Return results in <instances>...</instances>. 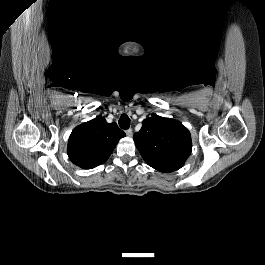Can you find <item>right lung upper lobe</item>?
<instances>
[{
	"instance_id": "right-lung-upper-lobe-1",
	"label": "right lung upper lobe",
	"mask_w": 265,
	"mask_h": 265,
	"mask_svg": "<svg viewBox=\"0 0 265 265\" xmlns=\"http://www.w3.org/2000/svg\"><path fill=\"white\" fill-rule=\"evenodd\" d=\"M125 133L116 123L95 118L77 126L68 140V156L72 163L92 169L105 162Z\"/></svg>"
}]
</instances>
